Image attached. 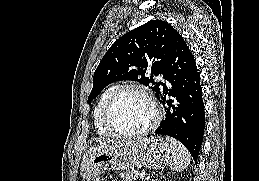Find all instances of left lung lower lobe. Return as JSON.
Listing matches in <instances>:
<instances>
[{
    "label": "left lung lower lobe",
    "instance_id": "obj_1",
    "mask_svg": "<svg viewBox=\"0 0 259 181\" xmlns=\"http://www.w3.org/2000/svg\"><path fill=\"white\" fill-rule=\"evenodd\" d=\"M165 79L172 85V89L163 83L157 96L165 108L166 117L155 133L179 140L196 162L203 141L205 111L199 71L181 35L172 47ZM167 95L175 99L167 100Z\"/></svg>",
    "mask_w": 259,
    "mask_h": 181
}]
</instances>
